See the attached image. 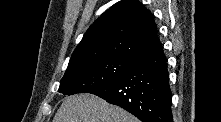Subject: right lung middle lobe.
Here are the masks:
<instances>
[{
    "mask_svg": "<svg viewBox=\"0 0 221 122\" xmlns=\"http://www.w3.org/2000/svg\"><path fill=\"white\" fill-rule=\"evenodd\" d=\"M134 62L123 56H104L73 65L67 68L58 92L91 93L118 80Z\"/></svg>",
    "mask_w": 221,
    "mask_h": 122,
    "instance_id": "dd1d6c3e",
    "label": "right lung middle lobe"
}]
</instances>
